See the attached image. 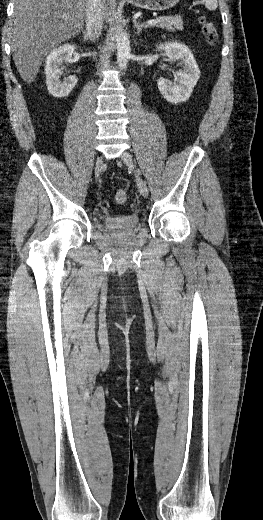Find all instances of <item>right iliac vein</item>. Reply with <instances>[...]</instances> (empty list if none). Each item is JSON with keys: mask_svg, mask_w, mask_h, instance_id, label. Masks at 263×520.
I'll return each instance as SVG.
<instances>
[{"mask_svg": "<svg viewBox=\"0 0 263 520\" xmlns=\"http://www.w3.org/2000/svg\"><path fill=\"white\" fill-rule=\"evenodd\" d=\"M103 168V159L98 157L95 163V178L98 179Z\"/></svg>", "mask_w": 263, "mask_h": 520, "instance_id": "1", "label": "right iliac vein"}]
</instances>
